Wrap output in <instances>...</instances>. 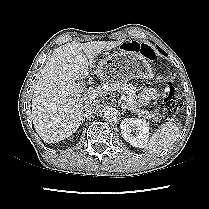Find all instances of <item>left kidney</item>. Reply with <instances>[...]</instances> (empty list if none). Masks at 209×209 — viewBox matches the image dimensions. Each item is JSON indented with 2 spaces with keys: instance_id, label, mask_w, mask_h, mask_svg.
Segmentation results:
<instances>
[{
  "instance_id": "left-kidney-1",
  "label": "left kidney",
  "mask_w": 209,
  "mask_h": 209,
  "mask_svg": "<svg viewBox=\"0 0 209 209\" xmlns=\"http://www.w3.org/2000/svg\"><path fill=\"white\" fill-rule=\"evenodd\" d=\"M123 138L132 146L145 148L150 140V127L144 120L138 118H125L120 124ZM136 135H133L134 133Z\"/></svg>"
}]
</instances>
